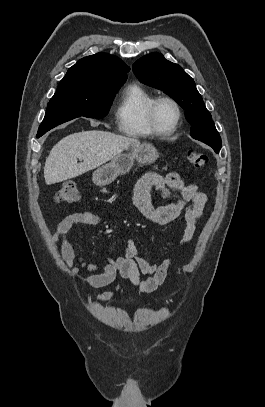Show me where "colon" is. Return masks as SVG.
<instances>
[{
  "instance_id": "obj_1",
  "label": "colon",
  "mask_w": 265,
  "mask_h": 407,
  "mask_svg": "<svg viewBox=\"0 0 265 407\" xmlns=\"http://www.w3.org/2000/svg\"><path fill=\"white\" fill-rule=\"evenodd\" d=\"M188 161L197 168L207 166L209 157L204 152L191 149L186 153ZM80 199V192L72 182L63 183L54 195V200L58 203H73Z\"/></svg>"
}]
</instances>
